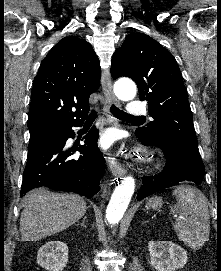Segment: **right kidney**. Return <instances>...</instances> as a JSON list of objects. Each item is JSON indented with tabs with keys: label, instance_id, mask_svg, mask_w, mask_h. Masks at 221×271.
Masks as SVG:
<instances>
[{
	"label": "right kidney",
	"instance_id": "obj_1",
	"mask_svg": "<svg viewBox=\"0 0 221 271\" xmlns=\"http://www.w3.org/2000/svg\"><path fill=\"white\" fill-rule=\"evenodd\" d=\"M36 261L48 271H63L68 263V245L63 241H46L39 247Z\"/></svg>",
	"mask_w": 221,
	"mask_h": 271
}]
</instances>
